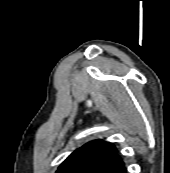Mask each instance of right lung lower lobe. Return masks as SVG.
Segmentation results:
<instances>
[{
    "label": "right lung lower lobe",
    "mask_w": 170,
    "mask_h": 173,
    "mask_svg": "<svg viewBox=\"0 0 170 173\" xmlns=\"http://www.w3.org/2000/svg\"><path fill=\"white\" fill-rule=\"evenodd\" d=\"M106 173H127V171L125 168V164L122 163L119 166H116V167L106 171Z\"/></svg>",
    "instance_id": "obj_1"
}]
</instances>
